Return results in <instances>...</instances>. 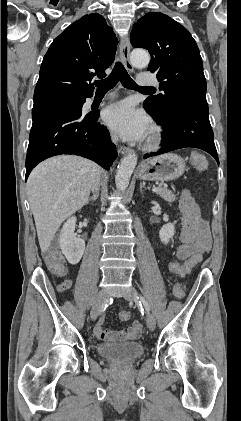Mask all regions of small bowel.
<instances>
[{
    "mask_svg": "<svg viewBox=\"0 0 241 421\" xmlns=\"http://www.w3.org/2000/svg\"><path fill=\"white\" fill-rule=\"evenodd\" d=\"M179 207L181 211V244L176 249L179 259L186 260L189 257L203 255L210 250L211 235L207 222L201 217L200 209L187 190H183L180 197ZM70 282L66 281L61 290L69 288ZM105 319H99L94 327L95 336L104 341H133L139 338L142 325L139 320H134L127 330H108L104 328Z\"/></svg>",
    "mask_w": 241,
    "mask_h": 421,
    "instance_id": "small-bowel-1",
    "label": "small bowel"
}]
</instances>
